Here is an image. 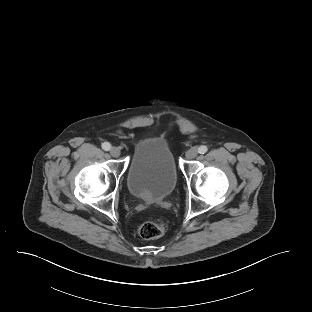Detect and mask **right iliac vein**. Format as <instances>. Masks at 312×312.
<instances>
[{
    "mask_svg": "<svg viewBox=\"0 0 312 312\" xmlns=\"http://www.w3.org/2000/svg\"><path fill=\"white\" fill-rule=\"evenodd\" d=\"M110 154L113 156V157H119L120 156V149L118 147H112L110 149Z\"/></svg>",
    "mask_w": 312,
    "mask_h": 312,
    "instance_id": "63e3f726",
    "label": "right iliac vein"
}]
</instances>
